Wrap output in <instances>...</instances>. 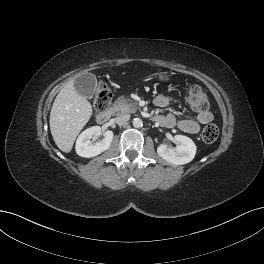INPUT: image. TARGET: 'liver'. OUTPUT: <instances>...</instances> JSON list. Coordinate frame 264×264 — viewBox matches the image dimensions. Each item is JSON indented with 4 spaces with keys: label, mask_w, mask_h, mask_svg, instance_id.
I'll return each mask as SVG.
<instances>
[{
    "label": "liver",
    "mask_w": 264,
    "mask_h": 264,
    "mask_svg": "<svg viewBox=\"0 0 264 264\" xmlns=\"http://www.w3.org/2000/svg\"><path fill=\"white\" fill-rule=\"evenodd\" d=\"M70 80L56 96L50 112V130L57 147L69 153L76 137L92 115V105Z\"/></svg>",
    "instance_id": "liver-1"
}]
</instances>
